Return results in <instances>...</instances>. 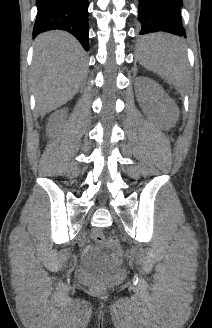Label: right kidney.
<instances>
[{
  "label": "right kidney",
  "instance_id": "ca27d5eb",
  "mask_svg": "<svg viewBox=\"0 0 212 328\" xmlns=\"http://www.w3.org/2000/svg\"><path fill=\"white\" fill-rule=\"evenodd\" d=\"M67 113L66 109L63 110H58L56 112H54L48 121V125H47V130L48 132H52L53 130L56 129V127L59 125V123H61L63 121V119L65 118Z\"/></svg>",
  "mask_w": 212,
  "mask_h": 328
}]
</instances>
